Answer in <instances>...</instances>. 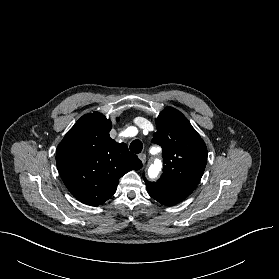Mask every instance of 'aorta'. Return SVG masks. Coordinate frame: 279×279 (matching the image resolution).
<instances>
[{
	"label": "aorta",
	"instance_id": "762f6f07",
	"mask_svg": "<svg viewBox=\"0 0 279 279\" xmlns=\"http://www.w3.org/2000/svg\"><path fill=\"white\" fill-rule=\"evenodd\" d=\"M159 169H160V165H155L151 170H150V175L151 176H156L157 175V173H158V171H159Z\"/></svg>",
	"mask_w": 279,
	"mask_h": 279
}]
</instances>
